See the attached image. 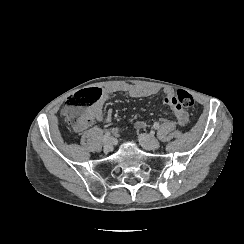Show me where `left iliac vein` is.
Instances as JSON below:
<instances>
[{
  "instance_id": "4c4485c4",
  "label": "left iliac vein",
  "mask_w": 244,
  "mask_h": 244,
  "mask_svg": "<svg viewBox=\"0 0 244 244\" xmlns=\"http://www.w3.org/2000/svg\"><path fill=\"white\" fill-rule=\"evenodd\" d=\"M138 140L146 150H155L159 148V142L157 139L149 134H140L138 136Z\"/></svg>"
}]
</instances>
